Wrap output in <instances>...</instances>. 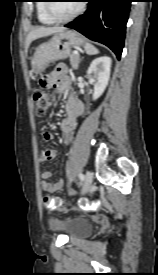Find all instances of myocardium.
Segmentation results:
<instances>
[{"label":"myocardium","instance_id":"f54148a6","mask_svg":"<svg viewBox=\"0 0 158 275\" xmlns=\"http://www.w3.org/2000/svg\"><path fill=\"white\" fill-rule=\"evenodd\" d=\"M47 2H53V1L48 0ZM53 4L54 3H46V12L56 22L70 21V20L74 19L75 17H77L78 15H80L85 9V3H83V1H82V3H80L79 7L71 15L66 16V17H60L55 13V11L53 9Z\"/></svg>","mask_w":158,"mask_h":275}]
</instances>
